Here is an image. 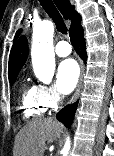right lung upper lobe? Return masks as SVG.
<instances>
[{
    "instance_id": "1",
    "label": "right lung upper lobe",
    "mask_w": 114,
    "mask_h": 156,
    "mask_svg": "<svg viewBox=\"0 0 114 156\" xmlns=\"http://www.w3.org/2000/svg\"><path fill=\"white\" fill-rule=\"evenodd\" d=\"M54 2L64 18L71 20L70 31L80 24L81 16L74 10V6L70 4L69 0H54ZM27 57L28 43L26 37L23 36L11 50L8 64V77L18 75Z\"/></svg>"
}]
</instances>
